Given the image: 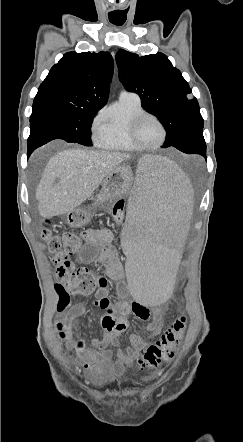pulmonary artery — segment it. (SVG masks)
Wrapping results in <instances>:
<instances>
[{
  "label": "pulmonary artery",
  "mask_w": 243,
  "mask_h": 442,
  "mask_svg": "<svg viewBox=\"0 0 243 442\" xmlns=\"http://www.w3.org/2000/svg\"><path fill=\"white\" fill-rule=\"evenodd\" d=\"M120 98H133V99H139L138 95L132 92L122 91L120 93Z\"/></svg>",
  "instance_id": "e3ab8cb5"
}]
</instances>
